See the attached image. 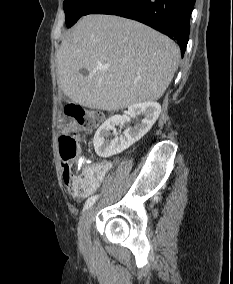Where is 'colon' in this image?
<instances>
[{"instance_id": "1", "label": "colon", "mask_w": 233, "mask_h": 284, "mask_svg": "<svg viewBox=\"0 0 233 284\" xmlns=\"http://www.w3.org/2000/svg\"><path fill=\"white\" fill-rule=\"evenodd\" d=\"M65 114L85 131L94 130L103 118L101 112L85 109L75 103L66 105ZM59 146L62 175L67 189L74 195L90 194L94 188L93 178L76 163L78 153L77 135L74 132L63 134L59 138Z\"/></svg>"}]
</instances>
